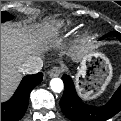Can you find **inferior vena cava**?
Segmentation results:
<instances>
[{"instance_id": "inferior-vena-cava-1", "label": "inferior vena cava", "mask_w": 121, "mask_h": 121, "mask_svg": "<svg viewBox=\"0 0 121 121\" xmlns=\"http://www.w3.org/2000/svg\"><path fill=\"white\" fill-rule=\"evenodd\" d=\"M43 60L39 56H29L21 64V72L24 74H36L41 71Z\"/></svg>"}]
</instances>
